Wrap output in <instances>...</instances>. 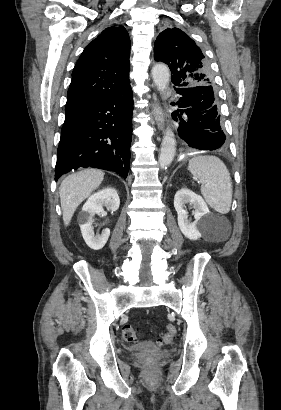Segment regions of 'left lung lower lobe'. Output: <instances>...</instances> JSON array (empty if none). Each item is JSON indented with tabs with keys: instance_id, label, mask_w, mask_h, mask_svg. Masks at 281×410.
<instances>
[{
	"instance_id": "1",
	"label": "left lung lower lobe",
	"mask_w": 281,
	"mask_h": 410,
	"mask_svg": "<svg viewBox=\"0 0 281 410\" xmlns=\"http://www.w3.org/2000/svg\"><path fill=\"white\" fill-rule=\"evenodd\" d=\"M180 95L179 110L173 118L180 120L178 133L190 147L216 150L225 144L220 115L212 86L175 88Z\"/></svg>"
}]
</instances>
